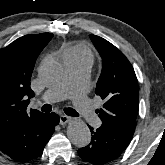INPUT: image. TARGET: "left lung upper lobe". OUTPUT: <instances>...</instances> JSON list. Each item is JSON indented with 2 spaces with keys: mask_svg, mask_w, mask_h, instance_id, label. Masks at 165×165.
I'll return each instance as SVG.
<instances>
[{
  "mask_svg": "<svg viewBox=\"0 0 165 165\" xmlns=\"http://www.w3.org/2000/svg\"><path fill=\"white\" fill-rule=\"evenodd\" d=\"M103 61L95 93L104 100L96 110L103 125L132 137L139 108V89L134 69L124 54L107 40L90 35Z\"/></svg>",
  "mask_w": 165,
  "mask_h": 165,
  "instance_id": "obj_1",
  "label": "left lung upper lobe"
}]
</instances>
